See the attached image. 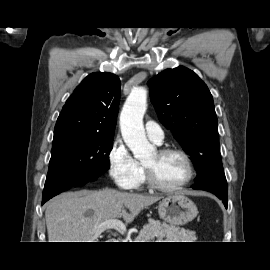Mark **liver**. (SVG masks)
<instances>
[{
  "instance_id": "6515ba94",
  "label": "liver",
  "mask_w": 270,
  "mask_h": 270,
  "mask_svg": "<svg viewBox=\"0 0 270 270\" xmlns=\"http://www.w3.org/2000/svg\"><path fill=\"white\" fill-rule=\"evenodd\" d=\"M158 200L160 197L113 189L59 195L50 201L45 211L48 240L97 242L99 234L94 228L100 223L121 217L126 223H131L142 209Z\"/></svg>"
}]
</instances>
